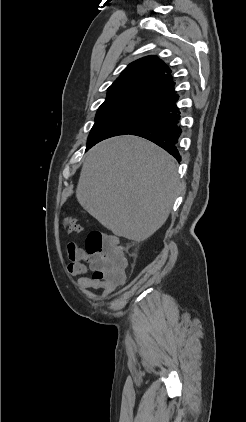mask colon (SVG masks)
<instances>
[{"mask_svg": "<svg viewBox=\"0 0 246 422\" xmlns=\"http://www.w3.org/2000/svg\"><path fill=\"white\" fill-rule=\"evenodd\" d=\"M65 226L70 232L80 233L84 230L74 219L65 220ZM86 251L98 257L99 269L95 272L96 277L115 279L123 274L126 260L116 236L91 231L86 239Z\"/></svg>", "mask_w": 246, "mask_h": 422, "instance_id": "colon-1", "label": "colon"}]
</instances>
